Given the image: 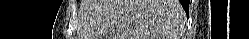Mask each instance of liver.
<instances>
[{"instance_id": "obj_1", "label": "liver", "mask_w": 249, "mask_h": 39, "mask_svg": "<svg viewBox=\"0 0 249 39\" xmlns=\"http://www.w3.org/2000/svg\"><path fill=\"white\" fill-rule=\"evenodd\" d=\"M80 15V39H176L184 11L178 0H84Z\"/></svg>"}]
</instances>
